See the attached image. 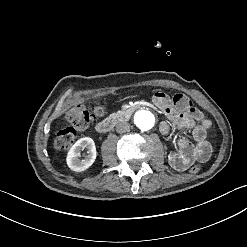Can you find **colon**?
Masks as SVG:
<instances>
[{
  "mask_svg": "<svg viewBox=\"0 0 247 247\" xmlns=\"http://www.w3.org/2000/svg\"><path fill=\"white\" fill-rule=\"evenodd\" d=\"M172 102L177 109L183 110L189 106L190 99L186 93L180 92L172 97ZM65 118L72 125L60 128L55 137L54 145L57 151H66L75 141L77 136V128H85L94 123L98 116L89 112L84 105L77 104L70 109ZM200 170V165H193L189 171L196 173Z\"/></svg>",
  "mask_w": 247,
  "mask_h": 247,
  "instance_id": "5ec220e1",
  "label": "colon"
}]
</instances>
